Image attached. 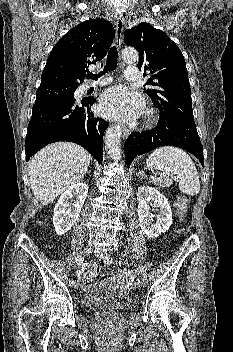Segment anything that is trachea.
Listing matches in <instances>:
<instances>
[{
  "label": "trachea",
  "mask_w": 233,
  "mask_h": 352,
  "mask_svg": "<svg viewBox=\"0 0 233 352\" xmlns=\"http://www.w3.org/2000/svg\"><path fill=\"white\" fill-rule=\"evenodd\" d=\"M117 59H118V51H117V48L115 46H113L109 50V53L107 55L106 65H105L103 71L99 72L96 75L92 74V73H88L86 77L89 79L98 80L99 77H101L102 75H104L108 71L116 68Z\"/></svg>",
  "instance_id": "trachea-1"
}]
</instances>
